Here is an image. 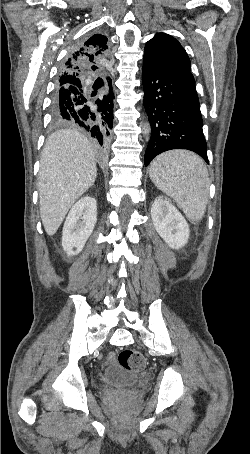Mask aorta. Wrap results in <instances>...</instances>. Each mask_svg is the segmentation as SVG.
<instances>
[{
	"mask_svg": "<svg viewBox=\"0 0 250 454\" xmlns=\"http://www.w3.org/2000/svg\"><path fill=\"white\" fill-rule=\"evenodd\" d=\"M143 130L145 134H148L150 132V126L148 123H145L143 126Z\"/></svg>",
	"mask_w": 250,
	"mask_h": 454,
	"instance_id": "obj_1",
	"label": "aorta"
}]
</instances>
